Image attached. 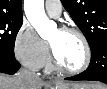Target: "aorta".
<instances>
[{
	"mask_svg": "<svg viewBox=\"0 0 107 89\" xmlns=\"http://www.w3.org/2000/svg\"><path fill=\"white\" fill-rule=\"evenodd\" d=\"M24 10L28 21L42 38H48L57 26L45 14L44 0H25Z\"/></svg>",
	"mask_w": 107,
	"mask_h": 89,
	"instance_id": "obj_1",
	"label": "aorta"
}]
</instances>
